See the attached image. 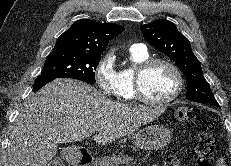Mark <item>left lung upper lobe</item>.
<instances>
[{
  "mask_svg": "<svg viewBox=\"0 0 231 166\" xmlns=\"http://www.w3.org/2000/svg\"><path fill=\"white\" fill-rule=\"evenodd\" d=\"M146 41L173 59L187 79V99L217 104L210 86L203 76L201 63L193 54L189 40L174 23L160 19L141 26Z\"/></svg>",
  "mask_w": 231,
  "mask_h": 166,
  "instance_id": "1",
  "label": "left lung upper lobe"
}]
</instances>
